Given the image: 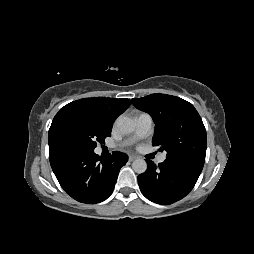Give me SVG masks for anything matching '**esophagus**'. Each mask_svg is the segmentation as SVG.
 Segmentation results:
<instances>
[{
	"mask_svg": "<svg viewBox=\"0 0 254 254\" xmlns=\"http://www.w3.org/2000/svg\"><path fill=\"white\" fill-rule=\"evenodd\" d=\"M137 157L136 156H134V155H129L128 156V160L129 161H133V160H135Z\"/></svg>",
	"mask_w": 254,
	"mask_h": 254,
	"instance_id": "1",
	"label": "esophagus"
}]
</instances>
